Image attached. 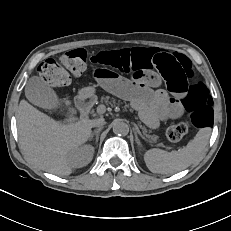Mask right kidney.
Masks as SVG:
<instances>
[{"label": "right kidney", "mask_w": 231, "mask_h": 231, "mask_svg": "<svg viewBox=\"0 0 231 231\" xmlns=\"http://www.w3.org/2000/svg\"><path fill=\"white\" fill-rule=\"evenodd\" d=\"M94 149L89 145L78 148L70 157V162L74 167L86 166L93 158Z\"/></svg>", "instance_id": "1"}]
</instances>
